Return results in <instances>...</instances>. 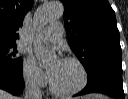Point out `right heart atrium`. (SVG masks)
<instances>
[{"mask_svg": "<svg viewBox=\"0 0 128 99\" xmlns=\"http://www.w3.org/2000/svg\"><path fill=\"white\" fill-rule=\"evenodd\" d=\"M23 79L25 84L32 89H40L47 84L45 73L31 58H26L23 62Z\"/></svg>", "mask_w": 128, "mask_h": 99, "instance_id": "1", "label": "right heart atrium"}]
</instances>
